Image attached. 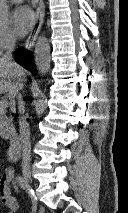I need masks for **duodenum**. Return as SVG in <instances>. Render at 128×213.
Wrapping results in <instances>:
<instances>
[{"label":"duodenum","mask_w":128,"mask_h":213,"mask_svg":"<svg viewBox=\"0 0 128 213\" xmlns=\"http://www.w3.org/2000/svg\"><path fill=\"white\" fill-rule=\"evenodd\" d=\"M21 139L20 136L15 133L9 138V147L7 149V157L10 161L15 160L21 152Z\"/></svg>","instance_id":"410a0bca"}]
</instances>
